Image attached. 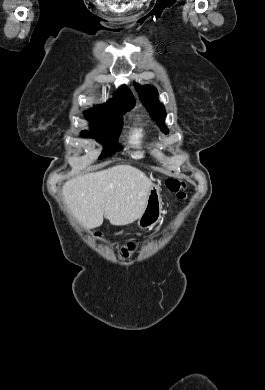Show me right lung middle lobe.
Segmentation results:
<instances>
[{
	"mask_svg": "<svg viewBox=\"0 0 265 390\" xmlns=\"http://www.w3.org/2000/svg\"><path fill=\"white\" fill-rule=\"evenodd\" d=\"M85 115L90 119L91 128L99 135V138H96V140L104 144L99 159H103L121 150L117 139L122 128V117L111 118L101 113L90 111L85 112ZM81 135L83 137H94V134L88 131L81 132Z\"/></svg>",
	"mask_w": 265,
	"mask_h": 390,
	"instance_id": "right-lung-middle-lobe-1",
	"label": "right lung middle lobe"
}]
</instances>
